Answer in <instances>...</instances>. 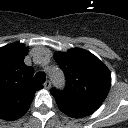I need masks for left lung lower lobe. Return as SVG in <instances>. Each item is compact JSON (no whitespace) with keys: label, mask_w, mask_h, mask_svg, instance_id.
Segmentation results:
<instances>
[{"label":"left lung lower lobe","mask_w":128,"mask_h":128,"mask_svg":"<svg viewBox=\"0 0 128 128\" xmlns=\"http://www.w3.org/2000/svg\"><path fill=\"white\" fill-rule=\"evenodd\" d=\"M57 104L62 112L69 115L70 117H75V118L87 116L96 111L90 108L78 107V106H74V105H70V104L58 102V101H57Z\"/></svg>","instance_id":"0a47b994"}]
</instances>
